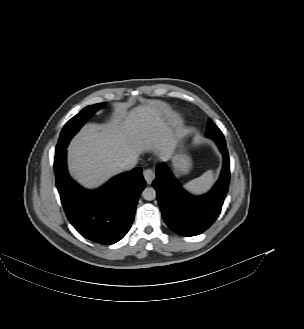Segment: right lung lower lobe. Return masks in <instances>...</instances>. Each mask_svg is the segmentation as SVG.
<instances>
[{
    "label": "right lung lower lobe",
    "instance_id": "obj_1",
    "mask_svg": "<svg viewBox=\"0 0 304 329\" xmlns=\"http://www.w3.org/2000/svg\"><path fill=\"white\" fill-rule=\"evenodd\" d=\"M56 185L68 220L85 238L102 245L121 240L130 229L146 183L137 167L89 191L68 174L66 148L55 154Z\"/></svg>",
    "mask_w": 304,
    "mask_h": 329
}]
</instances>
